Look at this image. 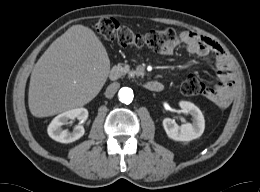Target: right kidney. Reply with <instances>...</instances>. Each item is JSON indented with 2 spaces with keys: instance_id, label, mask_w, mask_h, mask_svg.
<instances>
[{
  "instance_id": "1",
  "label": "right kidney",
  "mask_w": 260,
  "mask_h": 192,
  "mask_svg": "<svg viewBox=\"0 0 260 192\" xmlns=\"http://www.w3.org/2000/svg\"><path fill=\"white\" fill-rule=\"evenodd\" d=\"M88 118V111L85 108H75L65 111L57 115L49 124L48 135L55 141L60 143H71L80 139L84 135V127L81 125ZM78 119L80 124L77 125L72 132L62 129L63 125L68 124L69 120Z\"/></svg>"
}]
</instances>
